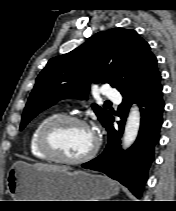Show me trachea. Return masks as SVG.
I'll return each instance as SVG.
<instances>
[{
	"mask_svg": "<svg viewBox=\"0 0 176 211\" xmlns=\"http://www.w3.org/2000/svg\"><path fill=\"white\" fill-rule=\"evenodd\" d=\"M106 103H107V104H111V102H109V101H107Z\"/></svg>",
	"mask_w": 176,
	"mask_h": 211,
	"instance_id": "1",
	"label": "trachea"
}]
</instances>
